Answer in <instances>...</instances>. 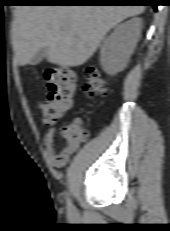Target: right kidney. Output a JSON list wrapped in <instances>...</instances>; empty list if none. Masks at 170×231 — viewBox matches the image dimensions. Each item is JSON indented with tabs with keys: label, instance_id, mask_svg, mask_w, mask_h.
Instances as JSON below:
<instances>
[{
	"label": "right kidney",
	"instance_id": "right-kidney-1",
	"mask_svg": "<svg viewBox=\"0 0 170 231\" xmlns=\"http://www.w3.org/2000/svg\"><path fill=\"white\" fill-rule=\"evenodd\" d=\"M141 27L142 19L133 18L118 25L105 39L100 51V63L107 74L114 75L127 66L140 38Z\"/></svg>",
	"mask_w": 170,
	"mask_h": 231
}]
</instances>
